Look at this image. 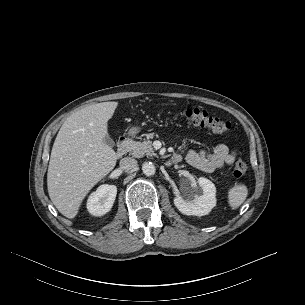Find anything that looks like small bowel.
Here are the masks:
<instances>
[{
  "label": "small bowel",
  "mask_w": 305,
  "mask_h": 305,
  "mask_svg": "<svg viewBox=\"0 0 305 305\" xmlns=\"http://www.w3.org/2000/svg\"><path fill=\"white\" fill-rule=\"evenodd\" d=\"M235 153L230 151L225 144L217 145L213 151L189 150L185 156L186 161L193 167L204 172H213L231 165L235 161ZM174 158L178 162L182 160V155L177 153Z\"/></svg>",
  "instance_id": "small-bowel-1"
}]
</instances>
